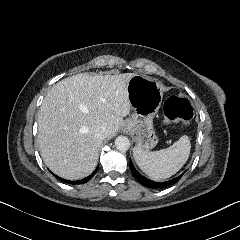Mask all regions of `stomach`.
Here are the masks:
<instances>
[{"label":"stomach","mask_w":240,"mask_h":240,"mask_svg":"<svg viewBox=\"0 0 240 240\" xmlns=\"http://www.w3.org/2000/svg\"><path fill=\"white\" fill-rule=\"evenodd\" d=\"M126 88L131 113L125 121L124 130L135 134L137 148L149 151L158 143L153 118L163 101V83L155 77L134 74L128 80Z\"/></svg>","instance_id":"0dacf381"}]
</instances>
